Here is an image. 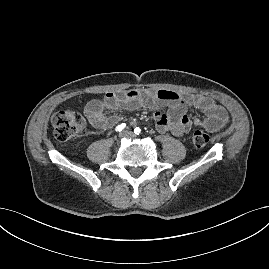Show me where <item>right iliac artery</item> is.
Here are the masks:
<instances>
[{"label": "right iliac artery", "instance_id": "obj_1", "mask_svg": "<svg viewBox=\"0 0 269 269\" xmlns=\"http://www.w3.org/2000/svg\"><path fill=\"white\" fill-rule=\"evenodd\" d=\"M126 127V124L122 123L115 128V131H122Z\"/></svg>", "mask_w": 269, "mask_h": 269}]
</instances>
